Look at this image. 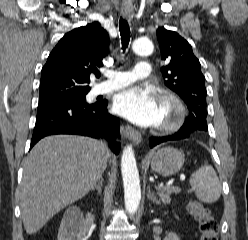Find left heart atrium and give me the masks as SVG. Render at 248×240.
Wrapping results in <instances>:
<instances>
[{
	"mask_svg": "<svg viewBox=\"0 0 248 240\" xmlns=\"http://www.w3.org/2000/svg\"><path fill=\"white\" fill-rule=\"evenodd\" d=\"M114 110L120 116L140 126L161 123L159 99L152 90L134 86L121 91L115 98Z\"/></svg>",
	"mask_w": 248,
	"mask_h": 240,
	"instance_id": "left-heart-atrium-1",
	"label": "left heart atrium"
}]
</instances>
